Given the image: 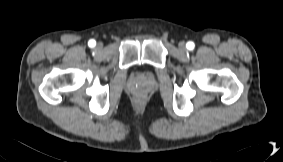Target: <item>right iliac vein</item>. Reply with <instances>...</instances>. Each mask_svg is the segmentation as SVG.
Instances as JSON below:
<instances>
[{"label": "right iliac vein", "instance_id": "obj_1", "mask_svg": "<svg viewBox=\"0 0 283 162\" xmlns=\"http://www.w3.org/2000/svg\"><path fill=\"white\" fill-rule=\"evenodd\" d=\"M97 48H98V49H101V48H102V43H98V44H97Z\"/></svg>", "mask_w": 283, "mask_h": 162}]
</instances>
